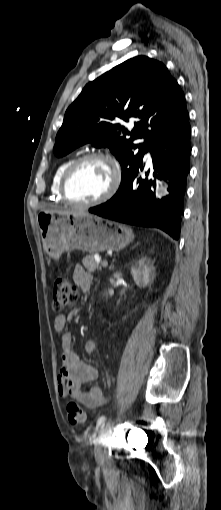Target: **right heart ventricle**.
<instances>
[{"label": "right heart ventricle", "mask_w": 221, "mask_h": 510, "mask_svg": "<svg viewBox=\"0 0 221 510\" xmlns=\"http://www.w3.org/2000/svg\"><path fill=\"white\" fill-rule=\"evenodd\" d=\"M72 161H73L72 158L63 160L61 163L58 164V166L56 167V169L53 173L52 180H51L50 194H51V199L57 203L64 202V200L60 194L59 186H60V181H61L64 171L66 170V168L69 166V164Z\"/></svg>", "instance_id": "1"}]
</instances>
